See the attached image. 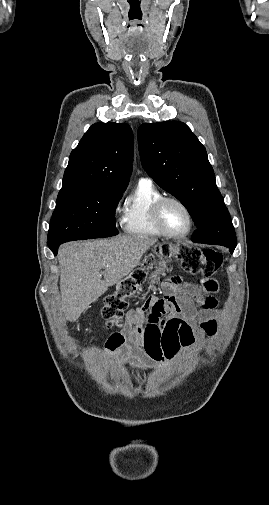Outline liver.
<instances>
[{
	"instance_id": "1",
	"label": "liver",
	"mask_w": 269,
	"mask_h": 505,
	"mask_svg": "<svg viewBox=\"0 0 269 505\" xmlns=\"http://www.w3.org/2000/svg\"><path fill=\"white\" fill-rule=\"evenodd\" d=\"M156 241L148 236L127 235L111 240L63 244L58 261L61 307L65 318L75 322L108 287L130 274ZM103 268L104 272H101Z\"/></svg>"
}]
</instances>
